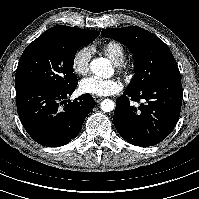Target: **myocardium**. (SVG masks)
<instances>
[{
    "label": "myocardium",
    "instance_id": "obj_1",
    "mask_svg": "<svg viewBox=\"0 0 199 199\" xmlns=\"http://www.w3.org/2000/svg\"><path fill=\"white\" fill-rule=\"evenodd\" d=\"M119 71L123 74H127L128 68L125 65H121Z\"/></svg>",
    "mask_w": 199,
    "mask_h": 199
}]
</instances>
